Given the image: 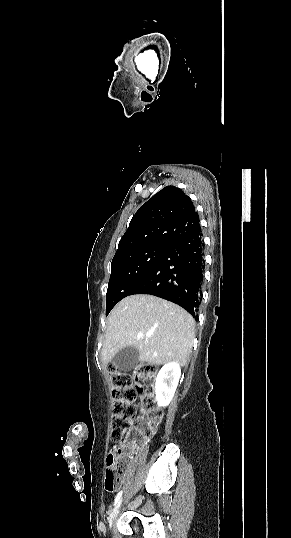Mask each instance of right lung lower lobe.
Here are the masks:
<instances>
[{"instance_id": "right-lung-lower-lobe-1", "label": "right lung lower lobe", "mask_w": 291, "mask_h": 538, "mask_svg": "<svg viewBox=\"0 0 291 538\" xmlns=\"http://www.w3.org/2000/svg\"><path fill=\"white\" fill-rule=\"evenodd\" d=\"M203 249L200 228L171 246L130 295H154L180 305L197 317L204 279Z\"/></svg>"}]
</instances>
